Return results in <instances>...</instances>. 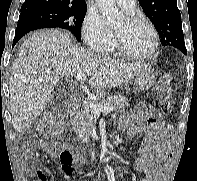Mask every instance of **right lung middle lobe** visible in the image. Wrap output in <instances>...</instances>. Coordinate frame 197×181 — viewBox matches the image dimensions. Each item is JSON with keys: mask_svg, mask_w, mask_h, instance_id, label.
<instances>
[{"mask_svg": "<svg viewBox=\"0 0 197 181\" xmlns=\"http://www.w3.org/2000/svg\"><path fill=\"white\" fill-rule=\"evenodd\" d=\"M21 14L38 17L53 24V27L67 29L75 36L77 41L81 40V26L86 8L37 5L21 10Z\"/></svg>", "mask_w": 197, "mask_h": 181, "instance_id": "1", "label": "right lung middle lobe"}]
</instances>
